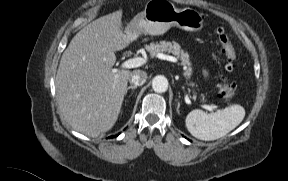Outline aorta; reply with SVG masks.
Wrapping results in <instances>:
<instances>
[{
	"label": "aorta",
	"mask_w": 288,
	"mask_h": 181,
	"mask_svg": "<svg viewBox=\"0 0 288 181\" xmlns=\"http://www.w3.org/2000/svg\"><path fill=\"white\" fill-rule=\"evenodd\" d=\"M152 88L157 93L166 92L168 89V80L162 75H157L152 80Z\"/></svg>",
	"instance_id": "762f6f07"
}]
</instances>
